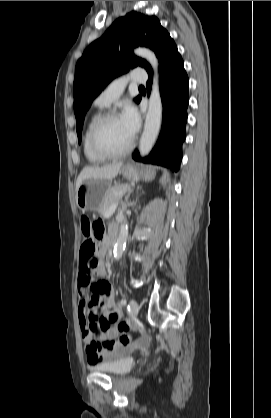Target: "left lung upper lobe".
I'll return each instance as SVG.
<instances>
[{"instance_id": "left-lung-upper-lobe-1", "label": "left lung upper lobe", "mask_w": 271, "mask_h": 418, "mask_svg": "<svg viewBox=\"0 0 271 418\" xmlns=\"http://www.w3.org/2000/svg\"><path fill=\"white\" fill-rule=\"evenodd\" d=\"M168 38L169 33L157 17L133 11L118 18L100 39L85 50L76 64L73 84L79 142L85 114L102 89L130 68H151L145 60L132 54L133 48L139 45L149 47L159 58ZM140 98L138 96L135 101L138 102Z\"/></svg>"}]
</instances>
